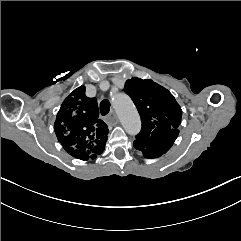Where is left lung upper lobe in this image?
I'll return each mask as SVG.
<instances>
[{
	"label": "left lung upper lobe",
	"instance_id": "5c2ea615",
	"mask_svg": "<svg viewBox=\"0 0 241 241\" xmlns=\"http://www.w3.org/2000/svg\"><path fill=\"white\" fill-rule=\"evenodd\" d=\"M124 91L141 117L142 129L134 141L140 149L157 150L167 135L179 131L182 110L167 89L150 79L133 77L126 81Z\"/></svg>",
	"mask_w": 241,
	"mask_h": 241
}]
</instances>
